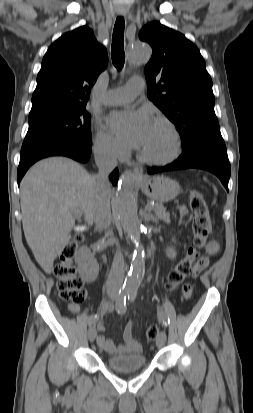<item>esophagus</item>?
I'll use <instances>...</instances> for the list:
<instances>
[{
	"instance_id": "34e87169",
	"label": "esophagus",
	"mask_w": 253,
	"mask_h": 413,
	"mask_svg": "<svg viewBox=\"0 0 253 413\" xmlns=\"http://www.w3.org/2000/svg\"><path fill=\"white\" fill-rule=\"evenodd\" d=\"M119 15L122 16L124 15V13H119ZM133 173H134L135 178L137 179H142L144 177L143 168L141 166L134 167Z\"/></svg>"
}]
</instances>
